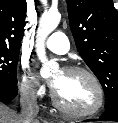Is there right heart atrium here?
<instances>
[{"instance_id": "d8ad5b80", "label": "right heart atrium", "mask_w": 118, "mask_h": 123, "mask_svg": "<svg viewBox=\"0 0 118 123\" xmlns=\"http://www.w3.org/2000/svg\"><path fill=\"white\" fill-rule=\"evenodd\" d=\"M19 88L24 97L32 100L41 98L45 94V87L40 83L39 79L31 73L27 65L22 66Z\"/></svg>"}]
</instances>
